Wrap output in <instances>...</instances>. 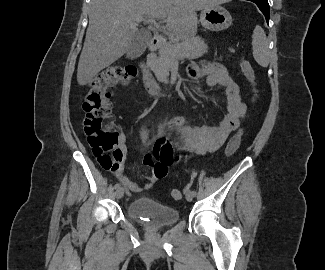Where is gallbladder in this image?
<instances>
[{"mask_svg":"<svg viewBox=\"0 0 325 270\" xmlns=\"http://www.w3.org/2000/svg\"><path fill=\"white\" fill-rule=\"evenodd\" d=\"M151 33L148 30H139L137 31L132 41L129 45V48L126 51L127 57L136 58L139 57L147 48L148 43L151 40Z\"/></svg>","mask_w":325,"mask_h":270,"instance_id":"gallbladder-1","label":"gallbladder"}]
</instances>
